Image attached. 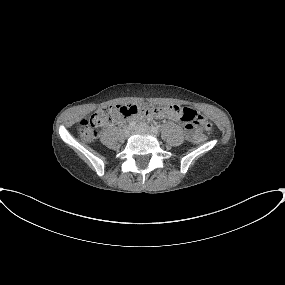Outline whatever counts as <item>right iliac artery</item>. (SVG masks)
I'll list each match as a JSON object with an SVG mask.
<instances>
[{
	"label": "right iliac artery",
	"instance_id": "82829eb1",
	"mask_svg": "<svg viewBox=\"0 0 285 285\" xmlns=\"http://www.w3.org/2000/svg\"><path fill=\"white\" fill-rule=\"evenodd\" d=\"M135 125H136V122H134V121L129 123V127H131V128L134 127Z\"/></svg>",
	"mask_w": 285,
	"mask_h": 285
}]
</instances>
